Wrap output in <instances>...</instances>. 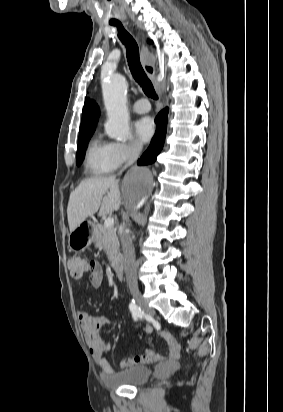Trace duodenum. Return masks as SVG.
Segmentation results:
<instances>
[{
	"label": "duodenum",
	"instance_id": "duodenum-1",
	"mask_svg": "<svg viewBox=\"0 0 283 412\" xmlns=\"http://www.w3.org/2000/svg\"><path fill=\"white\" fill-rule=\"evenodd\" d=\"M115 275L119 281L124 280V265L121 257L115 258L112 264Z\"/></svg>",
	"mask_w": 283,
	"mask_h": 412
}]
</instances>
